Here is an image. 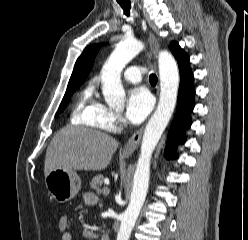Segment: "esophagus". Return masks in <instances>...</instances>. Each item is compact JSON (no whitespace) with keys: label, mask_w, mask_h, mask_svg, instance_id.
I'll return each instance as SVG.
<instances>
[{"label":"esophagus","mask_w":248,"mask_h":240,"mask_svg":"<svg viewBox=\"0 0 248 240\" xmlns=\"http://www.w3.org/2000/svg\"><path fill=\"white\" fill-rule=\"evenodd\" d=\"M150 50L152 54L157 58L159 43L152 34H150ZM142 134H143V128H140L130 137V139L127 141V143L125 144L122 150L123 154H131L136 150V148L139 146V143L141 141Z\"/></svg>","instance_id":"34e87169"}]
</instances>
